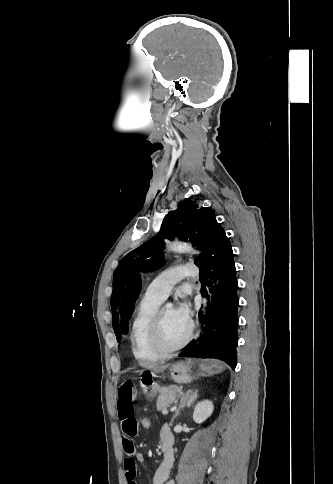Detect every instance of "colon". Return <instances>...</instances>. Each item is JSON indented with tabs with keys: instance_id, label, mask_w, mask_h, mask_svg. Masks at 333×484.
<instances>
[{
	"instance_id": "1",
	"label": "colon",
	"mask_w": 333,
	"mask_h": 484,
	"mask_svg": "<svg viewBox=\"0 0 333 484\" xmlns=\"http://www.w3.org/2000/svg\"><path fill=\"white\" fill-rule=\"evenodd\" d=\"M152 425V420L148 415H142L138 418V426L142 431L148 430Z\"/></svg>"
}]
</instances>
